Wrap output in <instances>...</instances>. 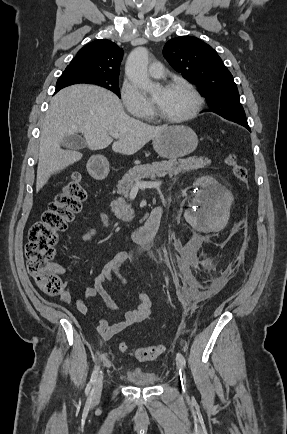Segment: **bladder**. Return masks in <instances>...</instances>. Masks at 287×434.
Returning a JSON list of instances; mask_svg holds the SVG:
<instances>
[{
  "instance_id": "31cf9c89",
  "label": "bladder",
  "mask_w": 287,
  "mask_h": 434,
  "mask_svg": "<svg viewBox=\"0 0 287 434\" xmlns=\"http://www.w3.org/2000/svg\"><path fill=\"white\" fill-rule=\"evenodd\" d=\"M124 379L138 387H151L159 383L160 377L153 371H145L138 367L129 368L124 374Z\"/></svg>"
}]
</instances>
